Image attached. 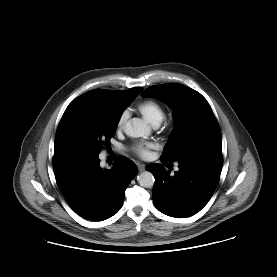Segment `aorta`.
<instances>
[{"instance_id": "762f6f07", "label": "aorta", "mask_w": 277, "mask_h": 277, "mask_svg": "<svg viewBox=\"0 0 277 277\" xmlns=\"http://www.w3.org/2000/svg\"><path fill=\"white\" fill-rule=\"evenodd\" d=\"M125 133L134 138L147 137L150 135L149 126L139 118L129 120L124 128ZM138 183L145 188H152L155 183V178L152 173L144 171L137 176Z\"/></svg>"}]
</instances>
